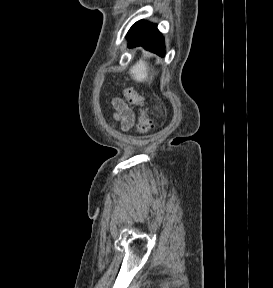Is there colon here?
Instances as JSON below:
<instances>
[{"instance_id": "obj_1", "label": "colon", "mask_w": 273, "mask_h": 288, "mask_svg": "<svg viewBox=\"0 0 273 288\" xmlns=\"http://www.w3.org/2000/svg\"><path fill=\"white\" fill-rule=\"evenodd\" d=\"M126 100L137 107L141 108L140 115L137 120V131L140 134H146L152 127V119L145 109H143L144 100L142 95L133 87H129L123 90Z\"/></svg>"}]
</instances>
